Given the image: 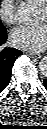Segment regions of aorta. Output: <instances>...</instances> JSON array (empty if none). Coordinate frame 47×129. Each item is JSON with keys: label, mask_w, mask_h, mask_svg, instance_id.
<instances>
[{"label": "aorta", "mask_w": 47, "mask_h": 129, "mask_svg": "<svg viewBox=\"0 0 47 129\" xmlns=\"http://www.w3.org/2000/svg\"><path fill=\"white\" fill-rule=\"evenodd\" d=\"M17 16L22 21H26V22L34 21L37 16V9L32 5L24 4L18 8ZM40 66H41L42 72L46 74V72H47L46 59L42 60Z\"/></svg>", "instance_id": "1"}]
</instances>
